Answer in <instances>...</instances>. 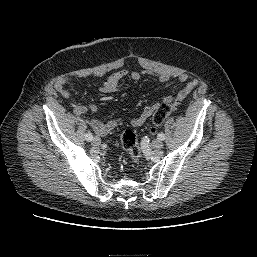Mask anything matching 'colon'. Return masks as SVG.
I'll list each match as a JSON object with an SVG mask.
<instances>
[{
    "mask_svg": "<svg viewBox=\"0 0 257 257\" xmlns=\"http://www.w3.org/2000/svg\"><path fill=\"white\" fill-rule=\"evenodd\" d=\"M181 99L175 98L170 103H162L155 110L152 117L151 131L161 125L170 113L180 104ZM122 148L127 152L132 163H138L140 160V148L136 134L131 131H125L120 139Z\"/></svg>",
    "mask_w": 257,
    "mask_h": 257,
    "instance_id": "obj_1",
    "label": "colon"
}]
</instances>
